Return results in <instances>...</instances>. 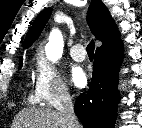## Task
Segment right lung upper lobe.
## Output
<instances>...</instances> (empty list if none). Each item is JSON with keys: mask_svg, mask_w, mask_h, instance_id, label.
<instances>
[{"mask_svg": "<svg viewBox=\"0 0 142 128\" xmlns=\"http://www.w3.org/2000/svg\"><path fill=\"white\" fill-rule=\"evenodd\" d=\"M50 14L51 8H47L38 15L27 33L23 44L24 48L31 46L38 38ZM87 20L93 35L103 43L97 50L109 49L121 43L114 20L101 0L91 1Z\"/></svg>", "mask_w": 142, "mask_h": 128, "instance_id": "right-lung-upper-lobe-1", "label": "right lung upper lobe"}]
</instances>
